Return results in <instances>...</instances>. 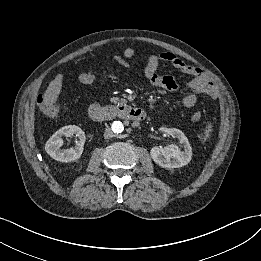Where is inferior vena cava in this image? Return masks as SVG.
Wrapping results in <instances>:
<instances>
[{
  "mask_svg": "<svg viewBox=\"0 0 261 261\" xmlns=\"http://www.w3.org/2000/svg\"><path fill=\"white\" fill-rule=\"evenodd\" d=\"M114 136L112 130L109 127H106L105 132H104V138L109 139Z\"/></svg>",
  "mask_w": 261,
  "mask_h": 261,
  "instance_id": "obj_1",
  "label": "inferior vena cava"
}]
</instances>
